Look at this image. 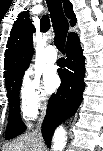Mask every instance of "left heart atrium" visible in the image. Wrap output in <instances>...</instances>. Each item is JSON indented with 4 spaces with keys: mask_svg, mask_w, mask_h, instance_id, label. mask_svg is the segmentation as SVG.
<instances>
[{
    "mask_svg": "<svg viewBox=\"0 0 103 151\" xmlns=\"http://www.w3.org/2000/svg\"><path fill=\"white\" fill-rule=\"evenodd\" d=\"M59 77L53 68H48L44 73V85L47 93L53 92L59 85Z\"/></svg>",
    "mask_w": 103,
    "mask_h": 151,
    "instance_id": "39dd6f15",
    "label": "left heart atrium"
}]
</instances>
